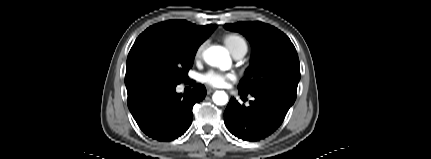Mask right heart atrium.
Wrapping results in <instances>:
<instances>
[{
    "mask_svg": "<svg viewBox=\"0 0 431 159\" xmlns=\"http://www.w3.org/2000/svg\"><path fill=\"white\" fill-rule=\"evenodd\" d=\"M203 48H204V44H201L198 46V48L196 49V52H195L196 58H199L201 56Z\"/></svg>",
    "mask_w": 431,
    "mask_h": 159,
    "instance_id": "right-heart-atrium-1",
    "label": "right heart atrium"
}]
</instances>
